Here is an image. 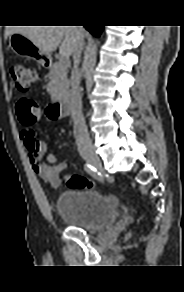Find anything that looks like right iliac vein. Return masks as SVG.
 <instances>
[{
	"mask_svg": "<svg viewBox=\"0 0 184 292\" xmlns=\"http://www.w3.org/2000/svg\"><path fill=\"white\" fill-rule=\"evenodd\" d=\"M83 158L88 163L93 165L96 169L102 170V164H101L100 158L97 155H95V154H84Z\"/></svg>",
	"mask_w": 184,
	"mask_h": 292,
	"instance_id": "63e3f726",
	"label": "right iliac vein"
}]
</instances>
